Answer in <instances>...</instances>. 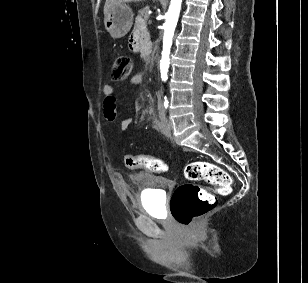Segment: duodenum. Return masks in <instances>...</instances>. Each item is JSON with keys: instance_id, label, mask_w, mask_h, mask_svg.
<instances>
[{"instance_id": "duodenum-1", "label": "duodenum", "mask_w": 308, "mask_h": 283, "mask_svg": "<svg viewBox=\"0 0 308 283\" xmlns=\"http://www.w3.org/2000/svg\"><path fill=\"white\" fill-rule=\"evenodd\" d=\"M153 40L152 38H143L141 41V48L143 52V55L145 57H151L153 55V52L151 51Z\"/></svg>"}]
</instances>
